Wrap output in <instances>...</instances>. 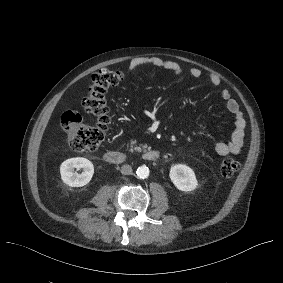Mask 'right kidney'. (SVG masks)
<instances>
[{
  "mask_svg": "<svg viewBox=\"0 0 283 283\" xmlns=\"http://www.w3.org/2000/svg\"><path fill=\"white\" fill-rule=\"evenodd\" d=\"M83 169L81 174L74 172V169ZM62 181L70 187H82L87 185L94 174V166L91 161L83 157L70 158L60 166Z\"/></svg>",
  "mask_w": 283,
  "mask_h": 283,
  "instance_id": "1",
  "label": "right kidney"
}]
</instances>
